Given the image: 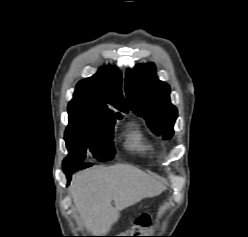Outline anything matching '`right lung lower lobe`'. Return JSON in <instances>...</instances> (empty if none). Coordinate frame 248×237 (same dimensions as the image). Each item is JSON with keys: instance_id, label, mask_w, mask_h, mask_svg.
Here are the masks:
<instances>
[{"instance_id": "right-lung-lower-lobe-1", "label": "right lung lower lobe", "mask_w": 248, "mask_h": 237, "mask_svg": "<svg viewBox=\"0 0 248 237\" xmlns=\"http://www.w3.org/2000/svg\"><path fill=\"white\" fill-rule=\"evenodd\" d=\"M92 164H84V163H80L79 165H74V166H69V167H63L64 169V172L66 173L67 175V181L68 183L70 182V179H71V175L76 172L77 170H80V169H84L86 167H89L91 166Z\"/></svg>"}]
</instances>
